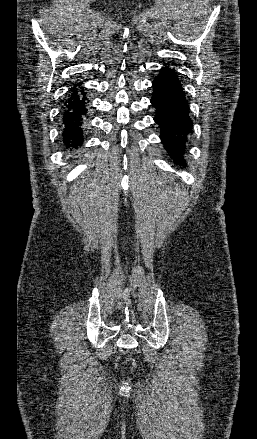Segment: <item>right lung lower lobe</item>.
<instances>
[{
    "mask_svg": "<svg viewBox=\"0 0 257 439\" xmlns=\"http://www.w3.org/2000/svg\"><path fill=\"white\" fill-rule=\"evenodd\" d=\"M81 92L82 94L80 96L76 90L72 92L64 112L63 138L68 148L78 147L83 140L82 126L84 125L83 119L87 109L85 107L86 98L82 97L84 92L83 90H81Z\"/></svg>",
    "mask_w": 257,
    "mask_h": 439,
    "instance_id": "obj_1",
    "label": "right lung lower lobe"
}]
</instances>
